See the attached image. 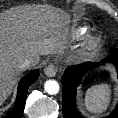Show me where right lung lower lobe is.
<instances>
[{
	"label": "right lung lower lobe",
	"instance_id": "1",
	"mask_svg": "<svg viewBox=\"0 0 118 118\" xmlns=\"http://www.w3.org/2000/svg\"><path fill=\"white\" fill-rule=\"evenodd\" d=\"M38 77L39 71L33 70L21 79L18 85V93L14 108L4 118H22L27 90L29 86L38 79Z\"/></svg>",
	"mask_w": 118,
	"mask_h": 118
}]
</instances>
